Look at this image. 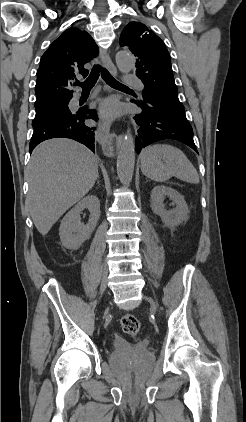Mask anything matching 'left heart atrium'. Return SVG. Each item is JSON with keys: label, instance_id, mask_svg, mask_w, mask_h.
Returning a JSON list of instances; mask_svg holds the SVG:
<instances>
[{"label": "left heart atrium", "instance_id": "1", "mask_svg": "<svg viewBox=\"0 0 246 422\" xmlns=\"http://www.w3.org/2000/svg\"><path fill=\"white\" fill-rule=\"evenodd\" d=\"M100 113L106 118H111L118 113V107L112 101H105L100 107Z\"/></svg>", "mask_w": 246, "mask_h": 422}]
</instances>
